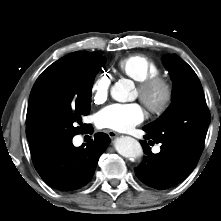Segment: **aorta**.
I'll list each match as a JSON object with an SVG mask.
<instances>
[{
	"label": "aorta",
	"instance_id": "762f6f07",
	"mask_svg": "<svg viewBox=\"0 0 221 221\" xmlns=\"http://www.w3.org/2000/svg\"><path fill=\"white\" fill-rule=\"evenodd\" d=\"M134 88L130 80H120L111 89V96L118 102H126L130 99ZM115 149L117 152L130 159H137L143 156V149L140 143L132 137H120L115 140Z\"/></svg>",
	"mask_w": 221,
	"mask_h": 221
}]
</instances>
